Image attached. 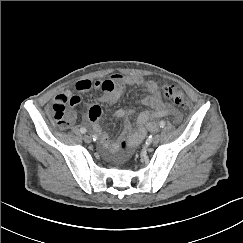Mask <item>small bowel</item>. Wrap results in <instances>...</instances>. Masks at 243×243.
<instances>
[{
  "label": "small bowel",
  "instance_id": "1",
  "mask_svg": "<svg viewBox=\"0 0 243 243\" xmlns=\"http://www.w3.org/2000/svg\"><path fill=\"white\" fill-rule=\"evenodd\" d=\"M130 85L142 87L147 95L140 99L141 104L147 107L137 117V127L133 129L129 118L133 115L134 111L129 109H118L114 116L119 119H125L124 134L129 137L132 144H138L143 140L148 131H155L157 125L154 119L165 117L168 115L177 116L178 113L175 109L166 104L160 95L159 85L152 80H146L141 76L126 77L121 74H114L108 79L91 81L89 79L79 80L75 84V89L78 93H85L90 90L101 91L102 95L99 102L114 104L124 94L126 88ZM81 103V97L78 94L66 91L55 96L52 108L55 104H68L71 108H75ZM102 108L99 104L92 105L87 113V120L92 124L93 130L99 136L101 144L110 149L116 150L118 143L110 141L108 135L102 130L100 126V119L102 116ZM69 122L72 123L77 114L74 110L68 113Z\"/></svg>",
  "mask_w": 243,
  "mask_h": 243
}]
</instances>
